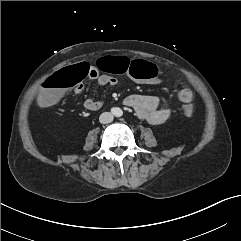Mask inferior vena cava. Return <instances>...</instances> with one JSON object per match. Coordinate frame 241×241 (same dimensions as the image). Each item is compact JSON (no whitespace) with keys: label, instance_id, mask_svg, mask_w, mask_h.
<instances>
[{"label":"inferior vena cava","instance_id":"inferior-vena-cava-1","mask_svg":"<svg viewBox=\"0 0 241 241\" xmlns=\"http://www.w3.org/2000/svg\"><path fill=\"white\" fill-rule=\"evenodd\" d=\"M113 119H114V116L110 112H104L99 117V121L102 124L111 123L113 121Z\"/></svg>","mask_w":241,"mask_h":241}]
</instances>
